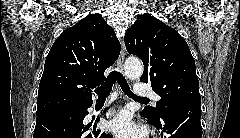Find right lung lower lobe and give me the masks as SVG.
I'll list each match as a JSON object with an SVG mask.
<instances>
[{"label":"right lung lower lobe","instance_id":"obj_1","mask_svg":"<svg viewBox=\"0 0 240 138\" xmlns=\"http://www.w3.org/2000/svg\"><path fill=\"white\" fill-rule=\"evenodd\" d=\"M91 105L92 103L37 116L33 138H111L109 134L96 130V123L83 125V119Z\"/></svg>","mask_w":240,"mask_h":138}]
</instances>
